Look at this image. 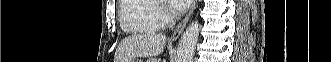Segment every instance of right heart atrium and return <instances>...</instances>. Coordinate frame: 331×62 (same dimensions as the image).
<instances>
[{
  "instance_id": "1",
  "label": "right heart atrium",
  "mask_w": 331,
  "mask_h": 62,
  "mask_svg": "<svg viewBox=\"0 0 331 62\" xmlns=\"http://www.w3.org/2000/svg\"><path fill=\"white\" fill-rule=\"evenodd\" d=\"M154 17L158 24H164L170 19V14L163 9H155Z\"/></svg>"
}]
</instances>
